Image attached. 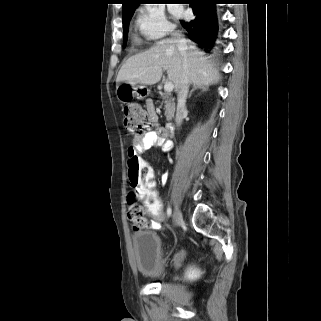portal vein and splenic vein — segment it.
<instances>
[{
  "mask_svg": "<svg viewBox=\"0 0 321 321\" xmlns=\"http://www.w3.org/2000/svg\"><path fill=\"white\" fill-rule=\"evenodd\" d=\"M174 88V85L172 82H166L165 85H164V90L166 92H171Z\"/></svg>",
  "mask_w": 321,
  "mask_h": 321,
  "instance_id": "1",
  "label": "portal vein and splenic vein"
}]
</instances>
